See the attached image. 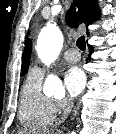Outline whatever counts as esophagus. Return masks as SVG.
<instances>
[{
  "instance_id": "obj_1",
  "label": "esophagus",
  "mask_w": 116,
  "mask_h": 134,
  "mask_svg": "<svg viewBox=\"0 0 116 134\" xmlns=\"http://www.w3.org/2000/svg\"><path fill=\"white\" fill-rule=\"evenodd\" d=\"M80 104H81V102L78 101L77 104H76V106L74 107L72 113H71V118H73L74 116L77 115V113L79 111V108H80Z\"/></svg>"
}]
</instances>
